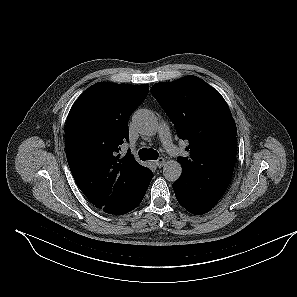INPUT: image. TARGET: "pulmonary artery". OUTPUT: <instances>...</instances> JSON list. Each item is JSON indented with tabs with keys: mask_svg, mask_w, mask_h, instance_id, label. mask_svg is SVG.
Returning a JSON list of instances; mask_svg holds the SVG:
<instances>
[{
	"mask_svg": "<svg viewBox=\"0 0 297 297\" xmlns=\"http://www.w3.org/2000/svg\"><path fill=\"white\" fill-rule=\"evenodd\" d=\"M158 132L162 143L170 152H174L177 154L181 153V150H178L173 146L170 138L169 127L165 122L160 123Z\"/></svg>",
	"mask_w": 297,
	"mask_h": 297,
	"instance_id": "pulmonary-artery-1",
	"label": "pulmonary artery"
}]
</instances>
